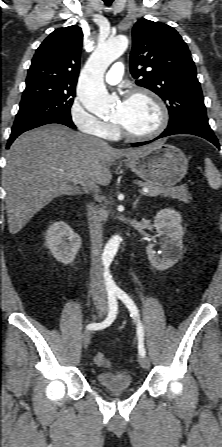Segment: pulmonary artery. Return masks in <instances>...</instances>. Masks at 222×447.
<instances>
[{
	"instance_id": "e3ab8cb5",
	"label": "pulmonary artery",
	"mask_w": 222,
	"mask_h": 447,
	"mask_svg": "<svg viewBox=\"0 0 222 447\" xmlns=\"http://www.w3.org/2000/svg\"><path fill=\"white\" fill-rule=\"evenodd\" d=\"M123 72L124 65L120 62L115 63L105 77L106 83L109 85L118 84L122 79Z\"/></svg>"
}]
</instances>
